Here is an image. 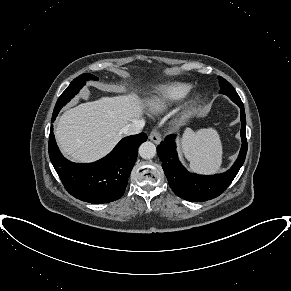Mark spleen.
Returning <instances> with one entry per match:
<instances>
[{"mask_svg":"<svg viewBox=\"0 0 291 291\" xmlns=\"http://www.w3.org/2000/svg\"><path fill=\"white\" fill-rule=\"evenodd\" d=\"M182 149L195 172L212 174L220 170L223 148L215 129H202L198 132L187 129L182 138Z\"/></svg>","mask_w":291,"mask_h":291,"instance_id":"spleen-1","label":"spleen"}]
</instances>
